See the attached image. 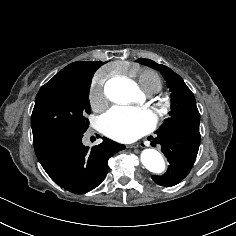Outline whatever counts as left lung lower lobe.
I'll return each mask as SVG.
<instances>
[{"mask_svg":"<svg viewBox=\"0 0 236 236\" xmlns=\"http://www.w3.org/2000/svg\"><path fill=\"white\" fill-rule=\"evenodd\" d=\"M200 138V134L175 129L165 130L161 135H158L155 142L161 145V150L170 166L164 175H153L154 182L170 187L182 181L195 162Z\"/></svg>","mask_w":236,"mask_h":236,"instance_id":"0a47b994","label":"left lung lower lobe"}]
</instances>
